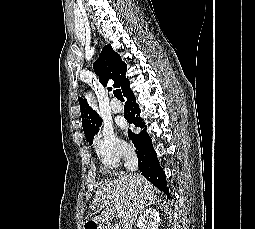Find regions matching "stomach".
<instances>
[{
    "label": "stomach",
    "instance_id": "stomach-1",
    "mask_svg": "<svg viewBox=\"0 0 255 229\" xmlns=\"http://www.w3.org/2000/svg\"><path fill=\"white\" fill-rule=\"evenodd\" d=\"M92 222H94V221H92ZM94 225H95L96 229H104L101 225H99V224H97L95 222H94Z\"/></svg>",
    "mask_w": 255,
    "mask_h": 229
}]
</instances>
